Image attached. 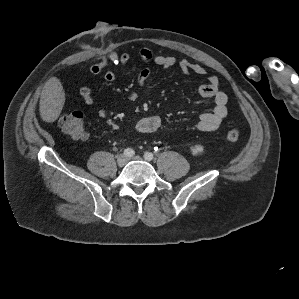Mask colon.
I'll return each mask as SVG.
<instances>
[{"label": "colon", "mask_w": 299, "mask_h": 299, "mask_svg": "<svg viewBox=\"0 0 299 299\" xmlns=\"http://www.w3.org/2000/svg\"><path fill=\"white\" fill-rule=\"evenodd\" d=\"M60 129L68 136L74 139H84L87 137V130L84 123L83 113L79 110H72L63 113L59 118ZM240 138L238 129H231L225 134V139L235 142Z\"/></svg>", "instance_id": "5ec220e1"}]
</instances>
